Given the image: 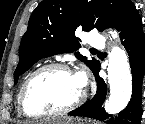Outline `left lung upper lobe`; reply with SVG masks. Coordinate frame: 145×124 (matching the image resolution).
Returning a JSON list of instances; mask_svg holds the SVG:
<instances>
[{"mask_svg": "<svg viewBox=\"0 0 145 124\" xmlns=\"http://www.w3.org/2000/svg\"><path fill=\"white\" fill-rule=\"evenodd\" d=\"M133 5L130 0H43L33 11L22 37L15 84L18 77L40 59L78 50L76 29L96 28L101 32L108 27L117 28ZM75 56L95 74L98 60H87L79 52Z\"/></svg>", "mask_w": 145, "mask_h": 124, "instance_id": "obj_1", "label": "left lung upper lobe"}]
</instances>
